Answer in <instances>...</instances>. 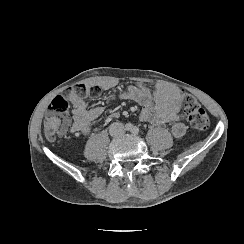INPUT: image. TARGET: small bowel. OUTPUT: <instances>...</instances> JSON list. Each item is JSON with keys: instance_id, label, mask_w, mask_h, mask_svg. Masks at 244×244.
<instances>
[{"instance_id": "obj_1", "label": "small bowel", "mask_w": 244, "mask_h": 244, "mask_svg": "<svg viewBox=\"0 0 244 244\" xmlns=\"http://www.w3.org/2000/svg\"><path fill=\"white\" fill-rule=\"evenodd\" d=\"M89 85H99L104 90H111L117 87L114 80H100ZM181 93L177 89L165 85H158L149 88L143 84L128 85L121 88L117 98H129L142 106L139 118L142 122L150 123L161 127L169 125L171 135L180 139L186 134L184 123L186 112L179 103ZM73 105L72 110V131L77 134L88 135L92 132L91 124L105 110L106 105H98L88 108L82 98L75 94L70 96ZM118 111H112L109 119H116Z\"/></svg>"}]
</instances>
